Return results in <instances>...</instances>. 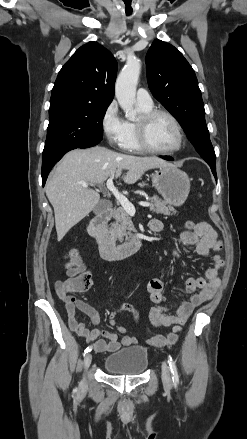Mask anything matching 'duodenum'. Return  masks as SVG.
<instances>
[{"mask_svg": "<svg viewBox=\"0 0 247 439\" xmlns=\"http://www.w3.org/2000/svg\"><path fill=\"white\" fill-rule=\"evenodd\" d=\"M112 216V208H108L94 217L88 227L89 235L98 244L100 254L108 260H117L138 252L143 246V239L134 237L129 241L116 244L107 236L105 227Z\"/></svg>", "mask_w": 247, "mask_h": 439, "instance_id": "1", "label": "duodenum"}]
</instances>
